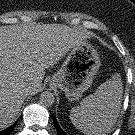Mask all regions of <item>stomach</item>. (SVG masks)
Returning a JSON list of instances; mask_svg holds the SVG:
<instances>
[{"instance_id": "stomach-1", "label": "stomach", "mask_w": 135, "mask_h": 135, "mask_svg": "<svg viewBox=\"0 0 135 135\" xmlns=\"http://www.w3.org/2000/svg\"><path fill=\"white\" fill-rule=\"evenodd\" d=\"M100 65V57L94 46L83 42L71 50L50 83L63 90L69 101H77L92 85Z\"/></svg>"}]
</instances>
